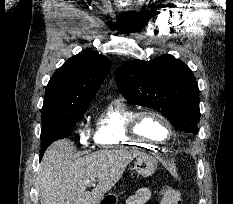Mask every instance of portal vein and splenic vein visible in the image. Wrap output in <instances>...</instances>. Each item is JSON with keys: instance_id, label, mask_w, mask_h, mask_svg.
I'll return each instance as SVG.
<instances>
[{"instance_id": "obj_1", "label": "portal vein and splenic vein", "mask_w": 233, "mask_h": 204, "mask_svg": "<svg viewBox=\"0 0 233 204\" xmlns=\"http://www.w3.org/2000/svg\"><path fill=\"white\" fill-rule=\"evenodd\" d=\"M89 186H95V183L94 182H90Z\"/></svg>"}]
</instances>
